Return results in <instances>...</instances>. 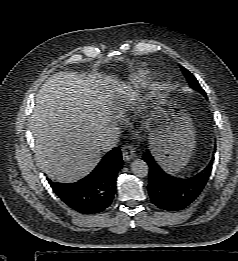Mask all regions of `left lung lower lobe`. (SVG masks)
<instances>
[{"instance_id":"obj_1","label":"left lung lower lobe","mask_w":238,"mask_h":261,"mask_svg":"<svg viewBox=\"0 0 238 261\" xmlns=\"http://www.w3.org/2000/svg\"><path fill=\"white\" fill-rule=\"evenodd\" d=\"M143 159L149 166L147 188L151 201L160 209L179 211L192 203L203 190L212 171L214 154L202 170L190 176L169 174L149 150L144 153Z\"/></svg>"}]
</instances>
